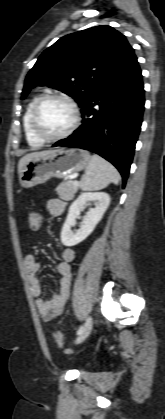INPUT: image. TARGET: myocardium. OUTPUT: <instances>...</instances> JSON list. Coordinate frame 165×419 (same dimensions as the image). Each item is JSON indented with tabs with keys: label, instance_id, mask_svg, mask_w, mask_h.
I'll return each mask as SVG.
<instances>
[{
	"label": "myocardium",
	"instance_id": "myocardium-1",
	"mask_svg": "<svg viewBox=\"0 0 165 419\" xmlns=\"http://www.w3.org/2000/svg\"><path fill=\"white\" fill-rule=\"evenodd\" d=\"M49 100H57V101H61L67 104L73 113V120H72L71 125L64 132L58 135H54V136L46 135L41 130L39 126V122H38L39 110L41 106L46 101H49ZM80 119H81V116H80V111L77 104L69 97L61 95V94H47L38 98L32 107L31 115H30L31 129L33 133L36 135V137L42 140L43 142H55V141H59V140L69 137L79 126Z\"/></svg>",
	"mask_w": 165,
	"mask_h": 419
}]
</instances>
